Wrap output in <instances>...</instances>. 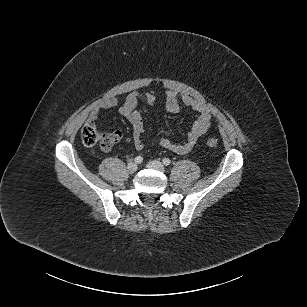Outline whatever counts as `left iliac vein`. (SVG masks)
<instances>
[{"label":"left iliac vein","mask_w":307,"mask_h":307,"mask_svg":"<svg viewBox=\"0 0 307 307\" xmlns=\"http://www.w3.org/2000/svg\"><path fill=\"white\" fill-rule=\"evenodd\" d=\"M147 167L150 168V169L158 170L160 172H164L165 171V167L158 160H152V161L148 162L147 163Z\"/></svg>","instance_id":"obj_1"}]
</instances>
